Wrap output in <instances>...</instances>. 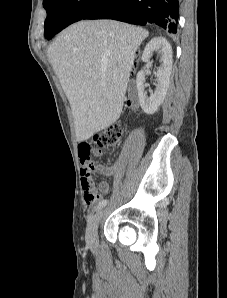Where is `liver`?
<instances>
[{
  "label": "liver",
  "instance_id": "1",
  "mask_svg": "<svg viewBox=\"0 0 227 298\" xmlns=\"http://www.w3.org/2000/svg\"><path fill=\"white\" fill-rule=\"evenodd\" d=\"M148 31L114 20L80 21L48 49L69 100L78 142L119 119L135 53Z\"/></svg>",
  "mask_w": 227,
  "mask_h": 298
}]
</instances>
